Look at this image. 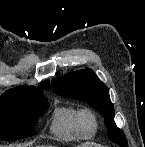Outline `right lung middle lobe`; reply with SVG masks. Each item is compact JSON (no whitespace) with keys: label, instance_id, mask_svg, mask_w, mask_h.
Returning a JSON list of instances; mask_svg holds the SVG:
<instances>
[{"label":"right lung middle lobe","instance_id":"1","mask_svg":"<svg viewBox=\"0 0 145 147\" xmlns=\"http://www.w3.org/2000/svg\"><path fill=\"white\" fill-rule=\"evenodd\" d=\"M48 108L43 89L3 95L0 101V141L33 136L36 121Z\"/></svg>","mask_w":145,"mask_h":147}]
</instances>
